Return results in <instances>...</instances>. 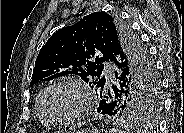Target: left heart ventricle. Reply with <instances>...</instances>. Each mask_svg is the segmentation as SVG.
Instances as JSON below:
<instances>
[{"label": "left heart ventricle", "instance_id": "b2bd125f", "mask_svg": "<svg viewBox=\"0 0 184 133\" xmlns=\"http://www.w3.org/2000/svg\"><path fill=\"white\" fill-rule=\"evenodd\" d=\"M80 107L78 94L66 87L54 89L46 101V109L54 119H66L73 116Z\"/></svg>", "mask_w": 184, "mask_h": 133}]
</instances>
